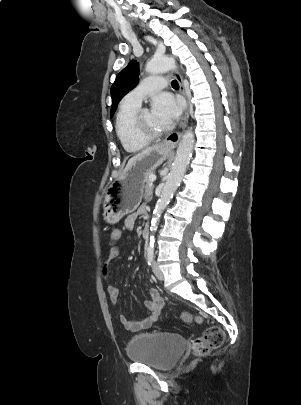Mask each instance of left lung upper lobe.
<instances>
[{"label": "left lung upper lobe", "mask_w": 301, "mask_h": 405, "mask_svg": "<svg viewBox=\"0 0 301 405\" xmlns=\"http://www.w3.org/2000/svg\"><path fill=\"white\" fill-rule=\"evenodd\" d=\"M139 63L136 60L131 61L117 76L111 87L112 106L110 117L113 116L117 105L130 90L138 83Z\"/></svg>", "instance_id": "obj_1"}]
</instances>
